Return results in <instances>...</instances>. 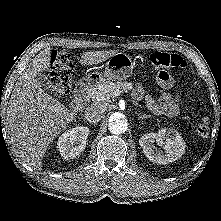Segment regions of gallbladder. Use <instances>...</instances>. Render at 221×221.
<instances>
[{"instance_id":"1","label":"gallbladder","mask_w":221,"mask_h":221,"mask_svg":"<svg viewBox=\"0 0 221 221\" xmlns=\"http://www.w3.org/2000/svg\"><path fill=\"white\" fill-rule=\"evenodd\" d=\"M37 81L45 91L53 90L51 82L48 80V78L44 74L40 73L37 76Z\"/></svg>"}]
</instances>
